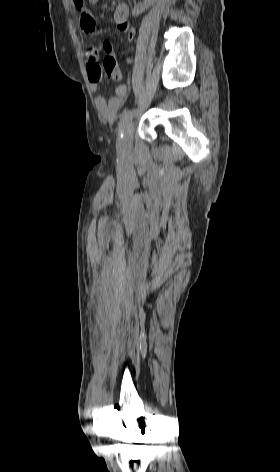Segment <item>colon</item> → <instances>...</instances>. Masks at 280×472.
<instances>
[{
    "instance_id": "colon-1",
    "label": "colon",
    "mask_w": 280,
    "mask_h": 472,
    "mask_svg": "<svg viewBox=\"0 0 280 472\" xmlns=\"http://www.w3.org/2000/svg\"><path fill=\"white\" fill-rule=\"evenodd\" d=\"M90 2H94L93 0H90ZM103 68L106 73V75L112 79V80H120L122 77V73L117 67V63L115 60L112 59H104L103 61Z\"/></svg>"
}]
</instances>
